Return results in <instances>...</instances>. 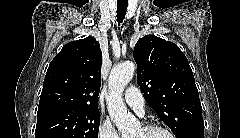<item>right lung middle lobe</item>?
Instances as JSON below:
<instances>
[{
	"instance_id": "obj_1",
	"label": "right lung middle lobe",
	"mask_w": 240,
	"mask_h": 138,
	"mask_svg": "<svg viewBox=\"0 0 240 138\" xmlns=\"http://www.w3.org/2000/svg\"><path fill=\"white\" fill-rule=\"evenodd\" d=\"M99 110L63 109L39 114L35 138H98Z\"/></svg>"
}]
</instances>
